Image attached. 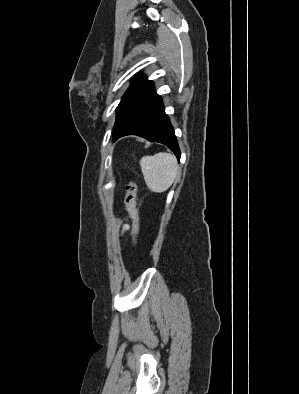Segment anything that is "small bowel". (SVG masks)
Here are the masks:
<instances>
[{
    "instance_id": "obj_1",
    "label": "small bowel",
    "mask_w": 299,
    "mask_h": 394,
    "mask_svg": "<svg viewBox=\"0 0 299 394\" xmlns=\"http://www.w3.org/2000/svg\"><path fill=\"white\" fill-rule=\"evenodd\" d=\"M129 229H130L129 224L125 223V224L123 225V227H122V233L128 231Z\"/></svg>"
}]
</instances>
